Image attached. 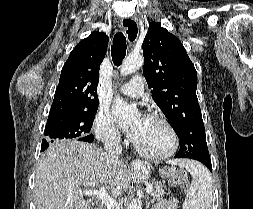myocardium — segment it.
<instances>
[{
    "instance_id": "obj_1",
    "label": "myocardium",
    "mask_w": 253,
    "mask_h": 209,
    "mask_svg": "<svg viewBox=\"0 0 253 209\" xmlns=\"http://www.w3.org/2000/svg\"><path fill=\"white\" fill-rule=\"evenodd\" d=\"M149 118L160 121L168 129L170 136H171V145H170L169 149H167L166 151L159 153V154H153V153H149V152L143 150L136 142L133 143V147L139 155H141L142 157H144L146 159L154 160V161L165 160V159L169 158L170 156H172L176 152L178 145H179L178 134H177L174 126L172 125V123L165 116L158 114V113H151L149 115Z\"/></svg>"
}]
</instances>
